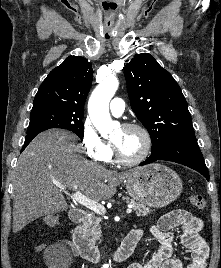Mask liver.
Instances as JSON below:
<instances>
[{
    "mask_svg": "<svg viewBox=\"0 0 221 268\" xmlns=\"http://www.w3.org/2000/svg\"><path fill=\"white\" fill-rule=\"evenodd\" d=\"M75 140L70 132L48 130L35 137L20 155L13 182L14 233L39 217L68 209L56 184L102 201L112 198L116 187L134 173H118L88 161L78 154L81 147Z\"/></svg>",
    "mask_w": 221,
    "mask_h": 268,
    "instance_id": "obj_1",
    "label": "liver"
}]
</instances>
